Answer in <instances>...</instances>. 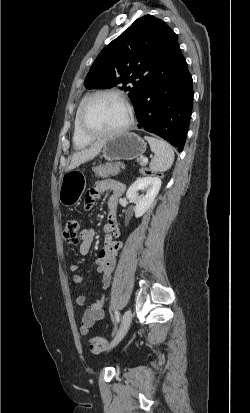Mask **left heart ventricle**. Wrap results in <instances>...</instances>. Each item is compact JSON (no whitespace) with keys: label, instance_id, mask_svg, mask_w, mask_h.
<instances>
[{"label":"left heart ventricle","instance_id":"b2bd125f","mask_svg":"<svg viewBox=\"0 0 250 413\" xmlns=\"http://www.w3.org/2000/svg\"><path fill=\"white\" fill-rule=\"evenodd\" d=\"M128 119L126 106L114 96L97 97L86 114L89 129L95 132H111L121 128Z\"/></svg>","mask_w":250,"mask_h":413}]
</instances>
